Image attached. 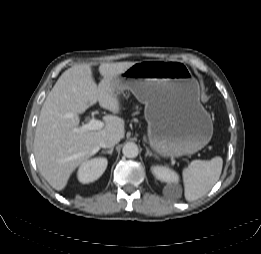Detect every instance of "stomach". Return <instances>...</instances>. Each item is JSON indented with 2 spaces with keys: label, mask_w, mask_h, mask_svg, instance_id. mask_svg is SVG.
Masks as SVG:
<instances>
[{
  "label": "stomach",
  "mask_w": 261,
  "mask_h": 254,
  "mask_svg": "<svg viewBox=\"0 0 261 254\" xmlns=\"http://www.w3.org/2000/svg\"><path fill=\"white\" fill-rule=\"evenodd\" d=\"M115 94L131 91L145 105L150 147L160 156L193 154L211 140L213 123L200 103V86L180 61L137 62L112 83Z\"/></svg>",
  "instance_id": "obj_1"
}]
</instances>
